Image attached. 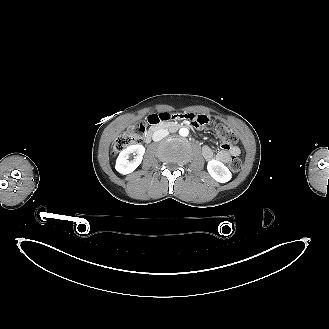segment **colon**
Instances as JSON below:
<instances>
[{
  "mask_svg": "<svg viewBox=\"0 0 329 329\" xmlns=\"http://www.w3.org/2000/svg\"><path fill=\"white\" fill-rule=\"evenodd\" d=\"M205 126L203 128H205ZM145 130H146V124L144 122H140L132 127H129L116 140L113 153L117 154L123 149L127 148L128 146L138 143L142 139ZM216 133L218 137L221 139L223 146L225 147H231L233 144H235L238 141L236 134L230 128L224 125L221 124L217 125ZM241 165L242 162L238 157H232L228 164L229 168L233 172L239 171Z\"/></svg>",
  "mask_w": 329,
  "mask_h": 329,
  "instance_id": "5ec220e1",
  "label": "colon"
}]
</instances>
